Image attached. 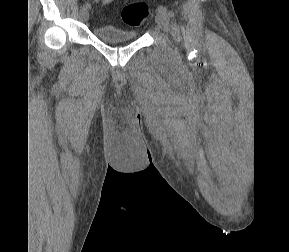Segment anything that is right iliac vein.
I'll list each match as a JSON object with an SVG mask.
<instances>
[{
    "mask_svg": "<svg viewBox=\"0 0 289 252\" xmlns=\"http://www.w3.org/2000/svg\"><path fill=\"white\" fill-rule=\"evenodd\" d=\"M80 17L83 21H87L89 19V12L87 9L81 8Z\"/></svg>",
    "mask_w": 289,
    "mask_h": 252,
    "instance_id": "1",
    "label": "right iliac vein"
}]
</instances>
